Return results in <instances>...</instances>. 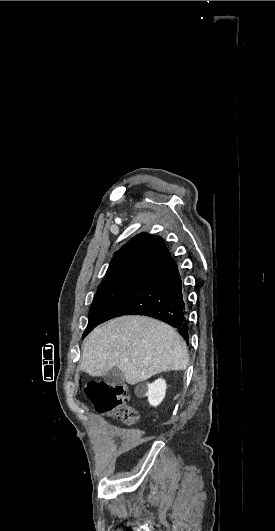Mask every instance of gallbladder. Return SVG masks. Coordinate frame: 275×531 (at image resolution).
I'll use <instances>...</instances> for the list:
<instances>
[{
  "label": "gallbladder",
  "mask_w": 275,
  "mask_h": 531,
  "mask_svg": "<svg viewBox=\"0 0 275 531\" xmlns=\"http://www.w3.org/2000/svg\"><path fill=\"white\" fill-rule=\"evenodd\" d=\"M105 381L112 385V387H117V385H123L125 383L124 373L118 369V367H113L110 369L109 373L104 377Z\"/></svg>",
  "instance_id": "obj_1"
}]
</instances>
